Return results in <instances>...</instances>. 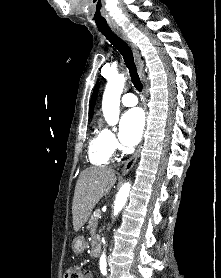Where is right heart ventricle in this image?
I'll list each match as a JSON object with an SVG mask.
<instances>
[{
	"label": "right heart ventricle",
	"mask_w": 221,
	"mask_h": 278,
	"mask_svg": "<svg viewBox=\"0 0 221 278\" xmlns=\"http://www.w3.org/2000/svg\"><path fill=\"white\" fill-rule=\"evenodd\" d=\"M112 153L103 130H97L89 144V158L91 163L98 166L107 165L111 160Z\"/></svg>",
	"instance_id": "1"
}]
</instances>
